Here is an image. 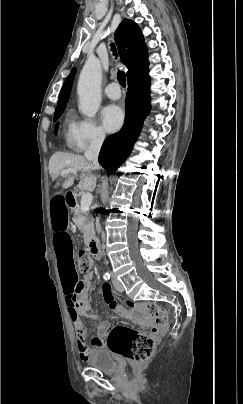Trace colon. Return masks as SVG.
Here are the masks:
<instances>
[{
    "label": "colon",
    "instance_id": "obj_1",
    "mask_svg": "<svg viewBox=\"0 0 243 404\" xmlns=\"http://www.w3.org/2000/svg\"><path fill=\"white\" fill-rule=\"evenodd\" d=\"M94 266L93 260L84 251L79 252V270L88 273ZM128 306L147 312L158 327H166L168 315L165 309L154 303L128 301ZM159 330L140 332L125 325L114 326L107 338V347L115 354L135 362L147 360L155 351Z\"/></svg>",
    "mask_w": 243,
    "mask_h": 404
}]
</instances>
